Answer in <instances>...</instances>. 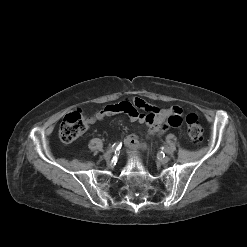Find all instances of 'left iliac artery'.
<instances>
[{"label": "left iliac artery", "mask_w": 247, "mask_h": 247, "mask_svg": "<svg viewBox=\"0 0 247 247\" xmlns=\"http://www.w3.org/2000/svg\"><path fill=\"white\" fill-rule=\"evenodd\" d=\"M166 153H169V154H171L172 152H173V150L171 149V148H169V147H163L162 148Z\"/></svg>", "instance_id": "1"}]
</instances>
